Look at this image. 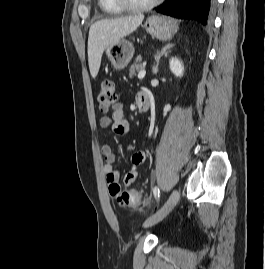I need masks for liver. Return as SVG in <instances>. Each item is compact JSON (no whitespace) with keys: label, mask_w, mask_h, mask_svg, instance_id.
Listing matches in <instances>:
<instances>
[{"label":"liver","mask_w":265,"mask_h":269,"mask_svg":"<svg viewBox=\"0 0 265 269\" xmlns=\"http://www.w3.org/2000/svg\"><path fill=\"white\" fill-rule=\"evenodd\" d=\"M144 15L102 19L93 23L88 36V63L91 76L99 72L105 49L133 33L142 23Z\"/></svg>","instance_id":"6515ba94"}]
</instances>
